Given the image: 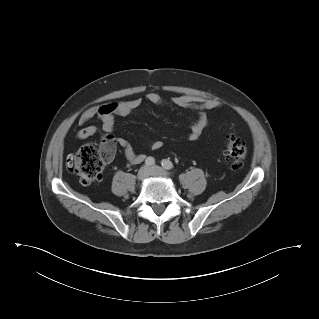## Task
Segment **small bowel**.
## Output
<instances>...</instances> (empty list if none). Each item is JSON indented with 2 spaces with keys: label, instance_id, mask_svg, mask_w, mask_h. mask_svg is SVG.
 Listing matches in <instances>:
<instances>
[{
  "label": "small bowel",
  "instance_id": "1",
  "mask_svg": "<svg viewBox=\"0 0 319 319\" xmlns=\"http://www.w3.org/2000/svg\"><path fill=\"white\" fill-rule=\"evenodd\" d=\"M146 101L152 104H162L165 102L163 97L154 91L145 95ZM172 103L183 108L192 109L198 112L199 117L191 124L187 139L191 142L198 140L202 132L210 126L211 121L207 116L210 110L219 109L222 103L217 99L205 98L200 96L177 95L172 97ZM142 103L141 98H133L121 102L106 103L103 105H94L87 108L79 119V125L82 126L76 131V138L87 139L98 133H102L104 137L112 133L114 130L115 119L117 116H126L135 111ZM98 118L102 122L99 129L96 126H85L89 121ZM118 146L123 150L124 156L132 164H138L145 160V155L137 153L130 142L125 138H117ZM162 142L153 140L151 142L152 149H160Z\"/></svg>",
  "mask_w": 319,
  "mask_h": 319
}]
</instances>
